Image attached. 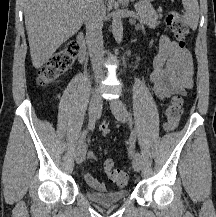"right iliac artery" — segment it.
<instances>
[{"label":"right iliac artery","instance_id":"82829eb1","mask_svg":"<svg viewBox=\"0 0 216 217\" xmlns=\"http://www.w3.org/2000/svg\"><path fill=\"white\" fill-rule=\"evenodd\" d=\"M94 126H95V119H90L86 130L83 131L82 135L79 138V144L85 140L87 134L91 129L94 128Z\"/></svg>","mask_w":216,"mask_h":217}]
</instances>
